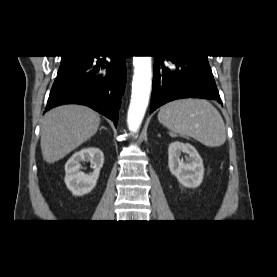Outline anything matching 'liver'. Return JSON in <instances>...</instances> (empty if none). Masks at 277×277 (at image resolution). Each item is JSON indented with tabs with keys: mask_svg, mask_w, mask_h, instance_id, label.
<instances>
[{
	"mask_svg": "<svg viewBox=\"0 0 277 277\" xmlns=\"http://www.w3.org/2000/svg\"><path fill=\"white\" fill-rule=\"evenodd\" d=\"M99 115L81 105H64L47 112L41 121V150L54 163L90 139L98 130Z\"/></svg>",
	"mask_w": 277,
	"mask_h": 277,
	"instance_id": "1",
	"label": "liver"
}]
</instances>
